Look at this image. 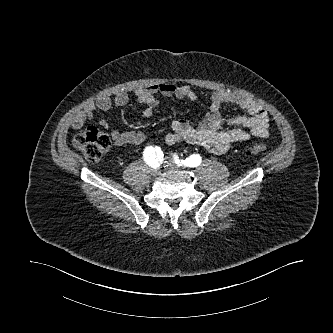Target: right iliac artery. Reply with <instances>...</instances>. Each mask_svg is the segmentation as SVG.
Wrapping results in <instances>:
<instances>
[{
  "instance_id": "right-iliac-artery-1",
  "label": "right iliac artery",
  "mask_w": 333,
  "mask_h": 333,
  "mask_svg": "<svg viewBox=\"0 0 333 333\" xmlns=\"http://www.w3.org/2000/svg\"><path fill=\"white\" fill-rule=\"evenodd\" d=\"M163 152L160 147L153 148L152 146H149L145 149L143 152V157L146 163L155 168L159 167V161H162L163 159Z\"/></svg>"
}]
</instances>
